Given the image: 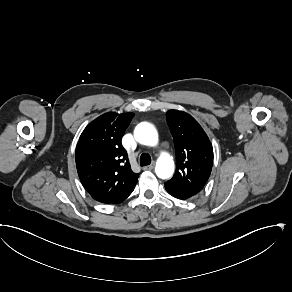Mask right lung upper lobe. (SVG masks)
Instances as JSON below:
<instances>
[{"mask_svg": "<svg viewBox=\"0 0 292 292\" xmlns=\"http://www.w3.org/2000/svg\"><path fill=\"white\" fill-rule=\"evenodd\" d=\"M133 113H105L82 132L76 147L81 183L98 202L118 204L133 191L139 174L132 172L121 139Z\"/></svg>", "mask_w": 292, "mask_h": 292, "instance_id": "obj_1", "label": "right lung upper lobe"}]
</instances>
